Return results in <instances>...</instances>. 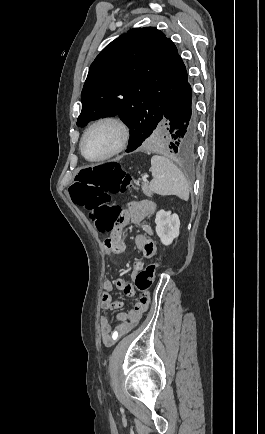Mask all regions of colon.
<instances>
[{"mask_svg": "<svg viewBox=\"0 0 265 434\" xmlns=\"http://www.w3.org/2000/svg\"><path fill=\"white\" fill-rule=\"evenodd\" d=\"M133 186V178L112 158L105 160V164H84L79 168L68 184L69 202H80L101 234H112L120 215L118 202L111 200V194H120ZM158 268V262L148 263L143 270L137 273L134 286L139 289L136 297L146 293L145 289L152 286ZM139 319H129L133 325Z\"/></svg>", "mask_w": 265, "mask_h": 434, "instance_id": "obj_1", "label": "colon"}]
</instances>
